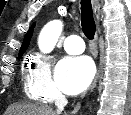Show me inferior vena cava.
I'll use <instances>...</instances> for the list:
<instances>
[{"label": "inferior vena cava", "instance_id": "602c4592", "mask_svg": "<svg viewBox=\"0 0 131 115\" xmlns=\"http://www.w3.org/2000/svg\"><path fill=\"white\" fill-rule=\"evenodd\" d=\"M68 101L62 94H57L55 96V106L57 107V114H61L64 110V107L67 105Z\"/></svg>", "mask_w": 131, "mask_h": 115}]
</instances>
